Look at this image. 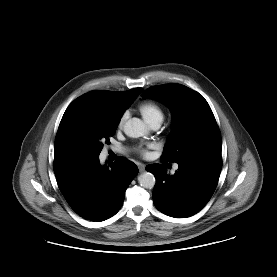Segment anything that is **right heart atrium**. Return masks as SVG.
<instances>
[{"instance_id":"obj_1","label":"right heart atrium","mask_w":277,"mask_h":277,"mask_svg":"<svg viewBox=\"0 0 277 277\" xmlns=\"http://www.w3.org/2000/svg\"><path fill=\"white\" fill-rule=\"evenodd\" d=\"M127 118V113H123L118 120V128H122Z\"/></svg>"}]
</instances>
